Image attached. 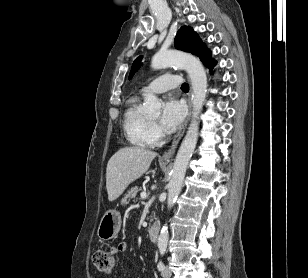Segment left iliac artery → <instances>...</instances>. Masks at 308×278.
<instances>
[{
  "label": "left iliac artery",
  "mask_w": 308,
  "mask_h": 278,
  "mask_svg": "<svg viewBox=\"0 0 308 278\" xmlns=\"http://www.w3.org/2000/svg\"><path fill=\"white\" fill-rule=\"evenodd\" d=\"M165 251H166L165 248H160L161 256H163L165 254ZM157 268H158L159 271H162L165 268L164 263L161 260L158 262Z\"/></svg>",
  "instance_id": "1"
}]
</instances>
